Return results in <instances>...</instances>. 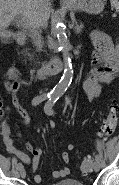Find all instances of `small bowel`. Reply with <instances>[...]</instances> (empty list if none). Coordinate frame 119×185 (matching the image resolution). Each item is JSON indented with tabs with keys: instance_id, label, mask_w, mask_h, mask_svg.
I'll use <instances>...</instances> for the list:
<instances>
[{
	"instance_id": "1",
	"label": "small bowel",
	"mask_w": 119,
	"mask_h": 185,
	"mask_svg": "<svg viewBox=\"0 0 119 185\" xmlns=\"http://www.w3.org/2000/svg\"><path fill=\"white\" fill-rule=\"evenodd\" d=\"M91 40L94 45V51L92 53V69L89 75L83 81V89L88 95L89 99L98 97L102 91V87L110 83L119 68V48L114 43L110 34L93 31L91 33ZM29 84L28 81L22 79L21 74L15 67H10L6 72V78L4 81V87L8 94L13 97V104L21 114L19 123L27 124L30 121V117L24 111L17 98L16 92L22 85ZM6 116L2 121L1 135L7 150L15 154L21 161L31 166V171L34 174L35 182L39 183L43 180L42 176L38 174V166L42 151L40 148L25 143V149L32 155V159L23 151L16 149L13 145L11 138V130L8 125L9 112L8 108H5ZM52 128L55 127V123H51ZM74 149L73 144H67L64 152L62 153V159L65 163L70 162V151ZM71 173L69 167H64L58 171L52 173V179H60L67 177Z\"/></svg>"
}]
</instances>
